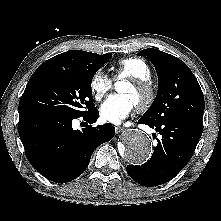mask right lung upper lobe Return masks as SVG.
<instances>
[{
    "instance_id": "obj_1",
    "label": "right lung upper lobe",
    "mask_w": 221,
    "mask_h": 221,
    "mask_svg": "<svg viewBox=\"0 0 221 221\" xmlns=\"http://www.w3.org/2000/svg\"><path fill=\"white\" fill-rule=\"evenodd\" d=\"M97 56L99 55L91 52L70 50L52 57L41 65L61 66L68 68H86L92 64Z\"/></svg>"
}]
</instances>
